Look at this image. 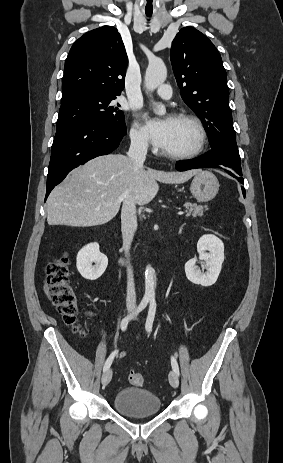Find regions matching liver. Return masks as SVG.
Listing matches in <instances>:
<instances>
[{
	"instance_id": "1",
	"label": "liver",
	"mask_w": 283,
	"mask_h": 463,
	"mask_svg": "<svg viewBox=\"0 0 283 463\" xmlns=\"http://www.w3.org/2000/svg\"><path fill=\"white\" fill-rule=\"evenodd\" d=\"M199 172L137 169L125 155L100 156L74 169L53 189L47 200V222L74 227L102 225L117 215L131 185L136 204L145 205L158 193L157 181L180 184Z\"/></svg>"
}]
</instances>
